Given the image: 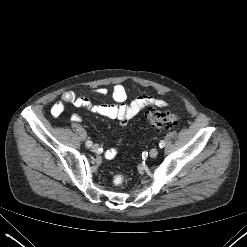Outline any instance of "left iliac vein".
<instances>
[{
	"mask_svg": "<svg viewBox=\"0 0 247 247\" xmlns=\"http://www.w3.org/2000/svg\"><path fill=\"white\" fill-rule=\"evenodd\" d=\"M150 157H156L158 155V150L156 148H153L149 152Z\"/></svg>",
	"mask_w": 247,
	"mask_h": 247,
	"instance_id": "1",
	"label": "left iliac vein"
}]
</instances>
